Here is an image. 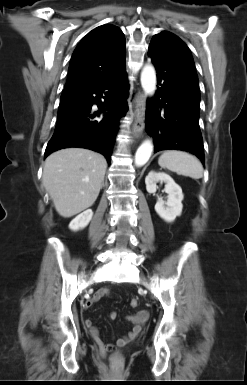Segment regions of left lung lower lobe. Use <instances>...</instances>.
<instances>
[{
    "instance_id": "left-lung-lower-lobe-1",
    "label": "left lung lower lobe",
    "mask_w": 247,
    "mask_h": 385,
    "mask_svg": "<svg viewBox=\"0 0 247 385\" xmlns=\"http://www.w3.org/2000/svg\"><path fill=\"white\" fill-rule=\"evenodd\" d=\"M157 72V92L148 102L146 131L155 151L176 149L195 154L204 164L199 127L200 91L195 69L175 51L168 35H155L149 45Z\"/></svg>"
}]
</instances>
